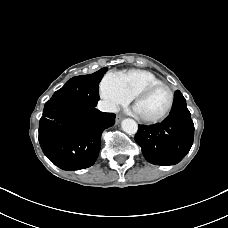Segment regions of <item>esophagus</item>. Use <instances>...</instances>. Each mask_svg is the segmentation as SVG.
I'll return each mask as SVG.
<instances>
[{"instance_id": "34e87169", "label": "esophagus", "mask_w": 228, "mask_h": 228, "mask_svg": "<svg viewBox=\"0 0 228 228\" xmlns=\"http://www.w3.org/2000/svg\"><path fill=\"white\" fill-rule=\"evenodd\" d=\"M121 120H122V117L119 116V115H117V116H116V123H119Z\"/></svg>"}]
</instances>
